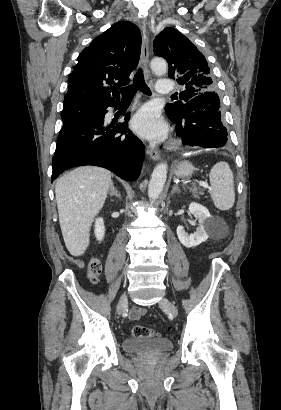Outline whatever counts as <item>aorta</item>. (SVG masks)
<instances>
[{"mask_svg": "<svg viewBox=\"0 0 281 410\" xmlns=\"http://www.w3.org/2000/svg\"><path fill=\"white\" fill-rule=\"evenodd\" d=\"M151 69L156 74H165L167 72V63L163 59H153L151 61ZM167 169L166 163H160L154 168L148 185V197L150 200L159 198L167 179Z\"/></svg>", "mask_w": 281, "mask_h": 410, "instance_id": "aorta-1", "label": "aorta"}]
</instances>
